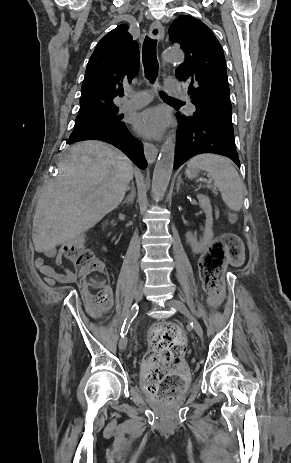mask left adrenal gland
Returning a JSON list of instances; mask_svg holds the SVG:
<instances>
[{
  "mask_svg": "<svg viewBox=\"0 0 291 463\" xmlns=\"http://www.w3.org/2000/svg\"><path fill=\"white\" fill-rule=\"evenodd\" d=\"M182 183H183V182H182L181 176H180L179 179H178V181H177V185H176V191H177V192L179 191L180 186H181Z\"/></svg>",
  "mask_w": 291,
  "mask_h": 463,
  "instance_id": "obj_1",
  "label": "left adrenal gland"
}]
</instances>
